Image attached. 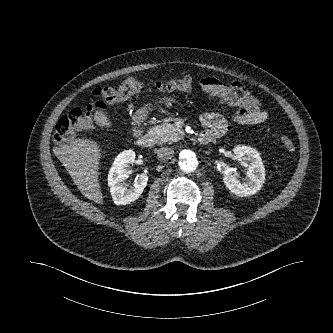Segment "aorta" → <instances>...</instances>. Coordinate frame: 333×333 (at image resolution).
<instances>
[{
  "instance_id": "obj_1",
  "label": "aorta",
  "mask_w": 333,
  "mask_h": 333,
  "mask_svg": "<svg viewBox=\"0 0 333 333\" xmlns=\"http://www.w3.org/2000/svg\"><path fill=\"white\" fill-rule=\"evenodd\" d=\"M179 168L185 173L194 172L198 167V160L193 151L185 149L179 154Z\"/></svg>"
}]
</instances>
